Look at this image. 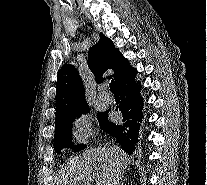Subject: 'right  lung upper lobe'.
<instances>
[{"mask_svg":"<svg viewBox=\"0 0 207 185\" xmlns=\"http://www.w3.org/2000/svg\"><path fill=\"white\" fill-rule=\"evenodd\" d=\"M88 65L97 83L103 81L102 75L108 69L114 71L113 78L116 84L136 72L119 49L115 48L113 42L102 33L99 43L88 52ZM88 111L81 77L73 65L66 64L59 70L57 76L55 128Z\"/></svg>","mask_w":207,"mask_h":185,"instance_id":"right-lung-upper-lobe-1","label":"right lung upper lobe"}]
</instances>
